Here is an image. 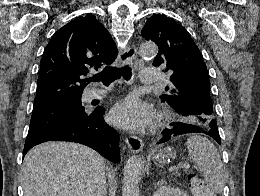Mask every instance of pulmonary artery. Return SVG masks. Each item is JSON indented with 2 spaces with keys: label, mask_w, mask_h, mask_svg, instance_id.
Here are the masks:
<instances>
[{
  "label": "pulmonary artery",
  "mask_w": 260,
  "mask_h": 196,
  "mask_svg": "<svg viewBox=\"0 0 260 196\" xmlns=\"http://www.w3.org/2000/svg\"><path fill=\"white\" fill-rule=\"evenodd\" d=\"M141 84H157V77L159 76L158 69H141ZM108 92L106 89L89 88L86 92V101L91 102Z\"/></svg>",
  "instance_id": "pulmonary-artery-1"
}]
</instances>
